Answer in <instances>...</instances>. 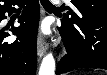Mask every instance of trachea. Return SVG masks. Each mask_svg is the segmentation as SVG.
I'll return each instance as SVG.
<instances>
[{
  "label": "trachea",
  "instance_id": "obj_1",
  "mask_svg": "<svg viewBox=\"0 0 107 75\" xmlns=\"http://www.w3.org/2000/svg\"><path fill=\"white\" fill-rule=\"evenodd\" d=\"M41 4L44 8L48 9H59L56 6H54L50 1L48 0H41Z\"/></svg>",
  "mask_w": 107,
  "mask_h": 75
}]
</instances>
